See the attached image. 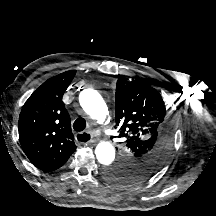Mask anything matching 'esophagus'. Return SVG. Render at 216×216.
<instances>
[{"label":"esophagus","instance_id":"34e87169","mask_svg":"<svg viewBox=\"0 0 216 216\" xmlns=\"http://www.w3.org/2000/svg\"><path fill=\"white\" fill-rule=\"evenodd\" d=\"M83 134H85V137H88V136L90 137V139H89L88 141L85 142L86 144H92V143L97 142V139H96L94 136H92L89 132L78 133V134L76 135V138L78 139V137H80V136L83 135Z\"/></svg>","mask_w":216,"mask_h":216}]
</instances>
